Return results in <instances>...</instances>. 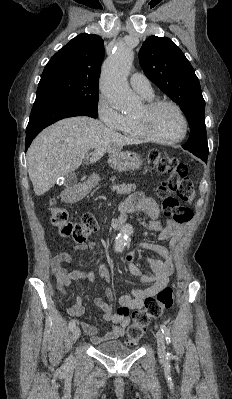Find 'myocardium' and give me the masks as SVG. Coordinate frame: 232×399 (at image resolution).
<instances>
[{
	"label": "myocardium",
	"instance_id": "myocardium-1",
	"mask_svg": "<svg viewBox=\"0 0 232 399\" xmlns=\"http://www.w3.org/2000/svg\"><path fill=\"white\" fill-rule=\"evenodd\" d=\"M163 105H169V106L174 107L178 111V113L182 119L183 132H182L181 136L176 139H161V138L157 137L156 135H154L148 126V117L157 108H159L160 106H163ZM144 110H145V115L143 117L135 118V121H136L139 131L147 140L154 142V143H158V144L172 145V144L180 143L181 141H183L186 138V136L188 134V129H189L188 121H187V118H186V115H185L183 109L178 104H176L175 102H172V101H168V100L149 101V102L145 103Z\"/></svg>",
	"mask_w": 232,
	"mask_h": 399
}]
</instances>
